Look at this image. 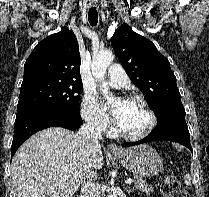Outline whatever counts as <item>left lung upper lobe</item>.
<instances>
[{"label": "left lung upper lobe", "mask_w": 209, "mask_h": 197, "mask_svg": "<svg viewBox=\"0 0 209 197\" xmlns=\"http://www.w3.org/2000/svg\"><path fill=\"white\" fill-rule=\"evenodd\" d=\"M111 44L132 82L148 98L147 103L157 118L185 111L170 63L151 41L123 24L115 31Z\"/></svg>", "instance_id": "left-lung-upper-lobe-1"}]
</instances>
